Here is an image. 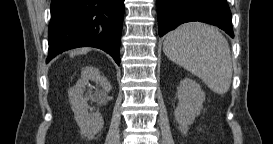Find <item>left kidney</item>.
I'll list each match as a JSON object with an SVG mask.
<instances>
[{"label":"left kidney","instance_id":"1","mask_svg":"<svg viewBox=\"0 0 273 144\" xmlns=\"http://www.w3.org/2000/svg\"><path fill=\"white\" fill-rule=\"evenodd\" d=\"M178 105L174 112L179 130L186 134L195 117L200 115L205 101V93L195 81L185 78L180 81L177 92Z\"/></svg>","mask_w":273,"mask_h":144}]
</instances>
